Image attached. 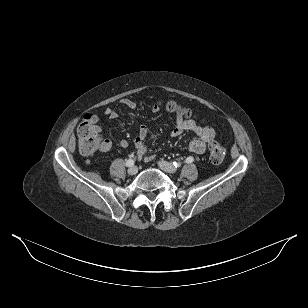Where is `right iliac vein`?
Here are the masks:
<instances>
[{
	"instance_id": "1",
	"label": "right iliac vein",
	"mask_w": 308,
	"mask_h": 308,
	"mask_svg": "<svg viewBox=\"0 0 308 308\" xmlns=\"http://www.w3.org/2000/svg\"><path fill=\"white\" fill-rule=\"evenodd\" d=\"M138 172V168L136 166H131L129 169H128V174L129 175H135L137 174Z\"/></svg>"
}]
</instances>
